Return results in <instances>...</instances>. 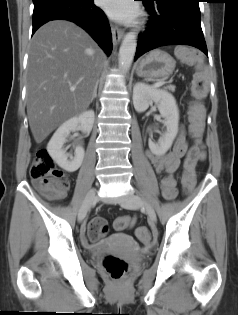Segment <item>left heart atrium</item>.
<instances>
[{
	"mask_svg": "<svg viewBox=\"0 0 238 315\" xmlns=\"http://www.w3.org/2000/svg\"><path fill=\"white\" fill-rule=\"evenodd\" d=\"M99 4L109 17L119 22H132L138 15L132 0H99Z\"/></svg>",
	"mask_w": 238,
	"mask_h": 315,
	"instance_id": "1",
	"label": "left heart atrium"
}]
</instances>
